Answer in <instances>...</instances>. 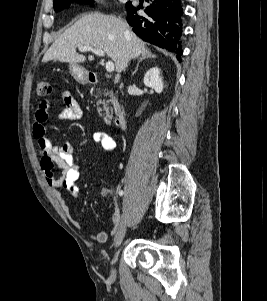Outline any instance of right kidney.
<instances>
[{
	"label": "right kidney",
	"instance_id": "obj_1",
	"mask_svg": "<svg viewBox=\"0 0 267 301\" xmlns=\"http://www.w3.org/2000/svg\"><path fill=\"white\" fill-rule=\"evenodd\" d=\"M144 85L155 90L157 93L163 91L162 77H160V69L153 67L149 69L144 76Z\"/></svg>",
	"mask_w": 267,
	"mask_h": 301
}]
</instances>
